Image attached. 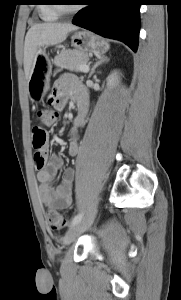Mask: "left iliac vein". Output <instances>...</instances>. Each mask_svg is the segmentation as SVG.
Listing matches in <instances>:
<instances>
[{
	"label": "left iliac vein",
	"mask_w": 181,
	"mask_h": 300,
	"mask_svg": "<svg viewBox=\"0 0 181 300\" xmlns=\"http://www.w3.org/2000/svg\"><path fill=\"white\" fill-rule=\"evenodd\" d=\"M95 215L96 207H94L85 218L81 219L68 229L63 238V243L66 245L72 243L81 233L87 230L94 221Z\"/></svg>",
	"instance_id": "left-iliac-vein-1"
}]
</instances>
